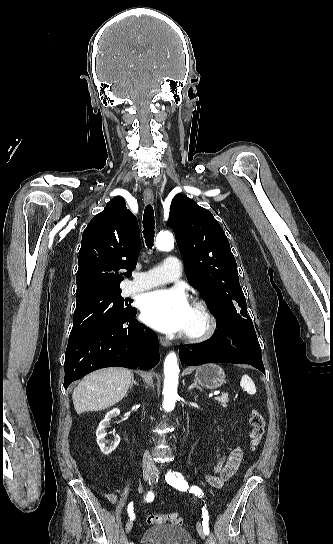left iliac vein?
Listing matches in <instances>:
<instances>
[{
  "instance_id": "left-iliac-vein-1",
  "label": "left iliac vein",
  "mask_w": 333,
  "mask_h": 544,
  "mask_svg": "<svg viewBox=\"0 0 333 544\" xmlns=\"http://www.w3.org/2000/svg\"><path fill=\"white\" fill-rule=\"evenodd\" d=\"M158 476H159V473L156 472L155 477H158ZM196 528H197V531H198L199 535L201 536V538L204 539L205 538V533L203 531V527H202L200 522H197Z\"/></svg>"
}]
</instances>
